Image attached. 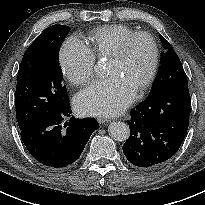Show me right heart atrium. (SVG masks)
<instances>
[{"instance_id": "d8ad5b80", "label": "right heart atrium", "mask_w": 205, "mask_h": 205, "mask_svg": "<svg viewBox=\"0 0 205 205\" xmlns=\"http://www.w3.org/2000/svg\"><path fill=\"white\" fill-rule=\"evenodd\" d=\"M58 60L63 74L73 85L85 84L93 77L95 56L76 36L68 37L63 42Z\"/></svg>"}]
</instances>
